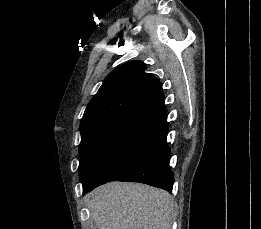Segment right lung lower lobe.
<instances>
[{"mask_svg":"<svg viewBox=\"0 0 261 229\" xmlns=\"http://www.w3.org/2000/svg\"><path fill=\"white\" fill-rule=\"evenodd\" d=\"M165 121L152 135L108 166L84 194L109 181L140 182L171 191L174 175L170 170V150Z\"/></svg>","mask_w":261,"mask_h":229,"instance_id":"98d812e1","label":"right lung lower lobe"}]
</instances>
